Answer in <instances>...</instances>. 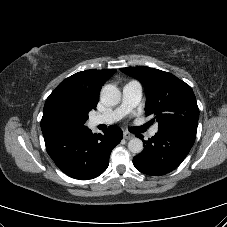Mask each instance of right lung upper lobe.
Here are the masks:
<instances>
[{
	"label": "right lung upper lobe",
	"instance_id": "cb5924a9",
	"mask_svg": "<svg viewBox=\"0 0 227 227\" xmlns=\"http://www.w3.org/2000/svg\"><path fill=\"white\" fill-rule=\"evenodd\" d=\"M115 72V69L78 72L63 80L50 94L45 104L53 99L61 98L89 113L97 106L102 85ZM48 134L51 133L43 132V136Z\"/></svg>",
	"mask_w": 227,
	"mask_h": 227
}]
</instances>
